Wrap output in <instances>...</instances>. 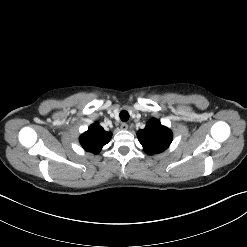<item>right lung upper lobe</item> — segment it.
Listing matches in <instances>:
<instances>
[{"mask_svg": "<svg viewBox=\"0 0 247 247\" xmlns=\"http://www.w3.org/2000/svg\"><path fill=\"white\" fill-rule=\"evenodd\" d=\"M111 137L112 134L110 132H106L100 125L95 123L80 136V143L86 151L97 154L110 141Z\"/></svg>", "mask_w": 247, "mask_h": 247, "instance_id": "1", "label": "right lung upper lobe"}]
</instances>
